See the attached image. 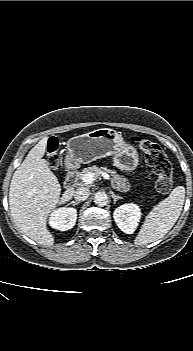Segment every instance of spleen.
<instances>
[{
	"instance_id": "spleen-1",
	"label": "spleen",
	"mask_w": 193,
	"mask_h": 351,
	"mask_svg": "<svg viewBox=\"0 0 193 351\" xmlns=\"http://www.w3.org/2000/svg\"><path fill=\"white\" fill-rule=\"evenodd\" d=\"M185 201V188L175 187L169 197L159 202L141 226L135 238L136 245H145L162 238L179 218Z\"/></svg>"
}]
</instances>
